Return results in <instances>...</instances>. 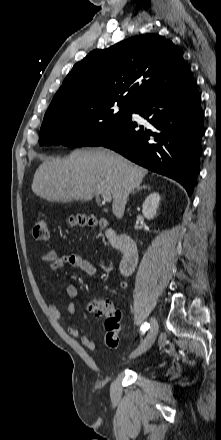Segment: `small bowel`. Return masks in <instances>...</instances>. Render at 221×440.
Returning <instances> with one entry per match:
<instances>
[{
  "label": "small bowel",
  "instance_id": "c3829d8e",
  "mask_svg": "<svg viewBox=\"0 0 221 440\" xmlns=\"http://www.w3.org/2000/svg\"><path fill=\"white\" fill-rule=\"evenodd\" d=\"M39 265L46 266L50 270H57L66 266H71L75 268H79L82 270L87 276H93L96 273V266L90 260H87L80 255L77 254H63L58 255L57 252L53 249L46 251L39 258ZM122 287L126 286V283L121 284ZM65 293L71 299H76L78 296V289L74 284H67L65 286ZM47 308L51 316L57 322L62 320V314L59 308L53 304L48 303ZM75 311V303L72 301L68 306V312L73 314ZM68 334L74 338H80V341L83 346L90 350H95L97 348V344L90 337L81 335L80 331L76 327H68Z\"/></svg>",
  "mask_w": 221,
  "mask_h": 440
}]
</instances>
